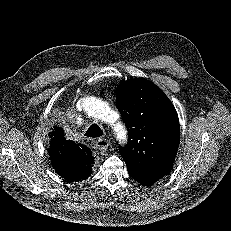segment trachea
Masks as SVG:
<instances>
[{"label":"trachea","mask_w":231,"mask_h":231,"mask_svg":"<svg viewBox=\"0 0 231 231\" xmlns=\"http://www.w3.org/2000/svg\"><path fill=\"white\" fill-rule=\"evenodd\" d=\"M104 132L100 128V126L96 123L92 124L88 130L85 132V136L91 137V138H98L103 136Z\"/></svg>","instance_id":"1"}]
</instances>
